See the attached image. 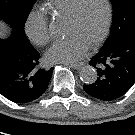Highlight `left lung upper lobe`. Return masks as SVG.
I'll return each mask as SVG.
<instances>
[{"instance_id":"1","label":"left lung upper lobe","mask_w":135,"mask_h":135,"mask_svg":"<svg viewBox=\"0 0 135 135\" xmlns=\"http://www.w3.org/2000/svg\"><path fill=\"white\" fill-rule=\"evenodd\" d=\"M110 1L113 6V23L111 33L103 47L135 33V0Z\"/></svg>"}]
</instances>
